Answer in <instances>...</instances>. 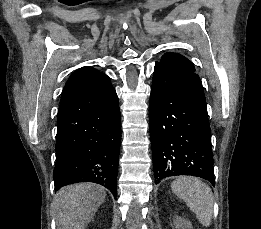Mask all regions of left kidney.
I'll list each match as a JSON object with an SVG mask.
<instances>
[{
	"mask_svg": "<svg viewBox=\"0 0 261 229\" xmlns=\"http://www.w3.org/2000/svg\"><path fill=\"white\" fill-rule=\"evenodd\" d=\"M174 221L175 229H193L190 221H185L181 217H175Z\"/></svg>",
	"mask_w": 261,
	"mask_h": 229,
	"instance_id": "1",
	"label": "left kidney"
}]
</instances>
